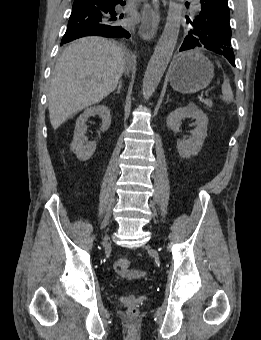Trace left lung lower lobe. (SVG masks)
<instances>
[{"instance_id":"1","label":"left lung lower lobe","mask_w":261,"mask_h":340,"mask_svg":"<svg viewBox=\"0 0 261 340\" xmlns=\"http://www.w3.org/2000/svg\"><path fill=\"white\" fill-rule=\"evenodd\" d=\"M230 18L228 8V0H200V13L193 20H188V23L195 22L198 25H204L212 20H225ZM200 41L195 35H188L185 37L180 51L200 47ZM233 66H235V59L233 49L225 53L224 56Z\"/></svg>"}]
</instances>
